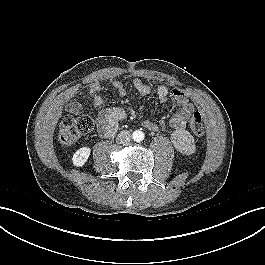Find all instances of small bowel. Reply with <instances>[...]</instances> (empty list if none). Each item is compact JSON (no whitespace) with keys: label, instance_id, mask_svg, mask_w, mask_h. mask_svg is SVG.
<instances>
[{"label":"small bowel","instance_id":"small-bowel-1","mask_svg":"<svg viewBox=\"0 0 265 265\" xmlns=\"http://www.w3.org/2000/svg\"><path fill=\"white\" fill-rule=\"evenodd\" d=\"M133 86L137 90L140 97L149 95L152 92V86L144 82L141 78L133 79ZM112 87L119 95H125L126 88L121 80H114ZM102 86L98 82H92L89 86V95L91 98V107L96 109L104 105L106 97L101 94ZM156 95L160 102H166L170 97L177 105V110L169 120L170 126L173 128L171 141L177 151L185 155H191L196 150L195 141L192 135L186 129L187 122L195 110L193 103L189 101L186 92L181 88H169L166 85H159L156 90ZM75 94L74 90L66 93L67 97ZM67 110L73 114H78L81 111V105L77 102H70L67 105ZM128 110L123 107H112L101 111L98 114L97 126L98 132L102 137L111 138L115 135L120 121L127 116ZM142 125L149 130H158L159 126L151 121L144 120Z\"/></svg>","mask_w":265,"mask_h":265}]
</instances>
